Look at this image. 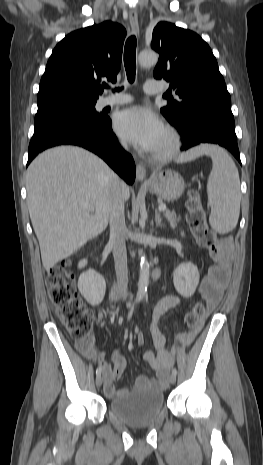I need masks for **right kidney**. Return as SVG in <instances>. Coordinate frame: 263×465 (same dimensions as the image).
I'll return each mask as SVG.
<instances>
[{
	"mask_svg": "<svg viewBox=\"0 0 263 465\" xmlns=\"http://www.w3.org/2000/svg\"><path fill=\"white\" fill-rule=\"evenodd\" d=\"M87 263V259L80 260L78 268H84ZM78 289L90 305L96 306L100 304L104 298L106 282L102 275L98 274L93 269H89L80 275Z\"/></svg>",
	"mask_w": 263,
	"mask_h": 465,
	"instance_id": "ca27d5eb",
	"label": "right kidney"
}]
</instances>
